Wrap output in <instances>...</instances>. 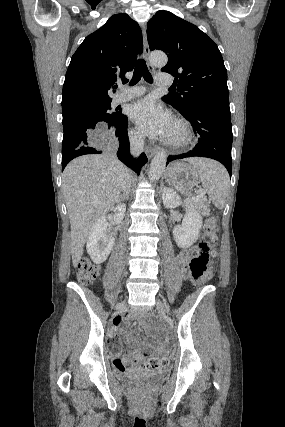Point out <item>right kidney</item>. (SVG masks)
Wrapping results in <instances>:
<instances>
[{
  "label": "right kidney",
  "instance_id": "1",
  "mask_svg": "<svg viewBox=\"0 0 285 427\" xmlns=\"http://www.w3.org/2000/svg\"><path fill=\"white\" fill-rule=\"evenodd\" d=\"M113 211V220L118 224L124 218L126 206L125 204H119L113 208ZM114 244L115 239L107 233L106 216H101L89 232L86 245L87 252L94 263L101 264L108 258Z\"/></svg>",
  "mask_w": 285,
  "mask_h": 427
}]
</instances>
